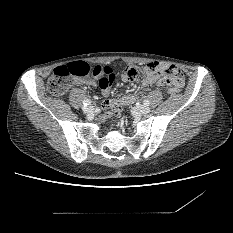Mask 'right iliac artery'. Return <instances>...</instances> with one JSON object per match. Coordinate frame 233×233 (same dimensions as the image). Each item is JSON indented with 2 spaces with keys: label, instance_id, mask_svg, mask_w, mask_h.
Here are the masks:
<instances>
[{
  "label": "right iliac artery",
  "instance_id": "82829eb1",
  "mask_svg": "<svg viewBox=\"0 0 233 233\" xmlns=\"http://www.w3.org/2000/svg\"><path fill=\"white\" fill-rule=\"evenodd\" d=\"M90 104H91V101L89 99H86V100L83 101L84 106H88Z\"/></svg>",
  "mask_w": 233,
  "mask_h": 233
}]
</instances>
